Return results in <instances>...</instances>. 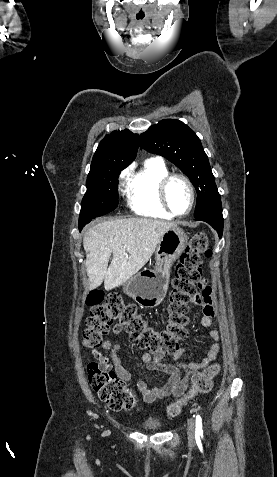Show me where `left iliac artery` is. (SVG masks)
Returning <instances> with one entry per match:
<instances>
[{
  "instance_id": "obj_1",
  "label": "left iliac artery",
  "mask_w": 277,
  "mask_h": 477,
  "mask_svg": "<svg viewBox=\"0 0 277 477\" xmlns=\"http://www.w3.org/2000/svg\"><path fill=\"white\" fill-rule=\"evenodd\" d=\"M196 433L198 434H201L203 433L202 431V419L200 417V415H197L196 416Z\"/></svg>"
}]
</instances>
